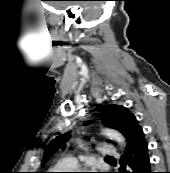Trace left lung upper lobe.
<instances>
[{
    "mask_svg": "<svg viewBox=\"0 0 170 173\" xmlns=\"http://www.w3.org/2000/svg\"><path fill=\"white\" fill-rule=\"evenodd\" d=\"M101 113L104 125L118 129L127 139L126 150L134 148L137 144L145 141L142 128L139 126L136 117L127 108L117 105H98L95 109ZM70 137V133H65L53 140L44 153L42 165L61 147Z\"/></svg>",
    "mask_w": 170,
    "mask_h": 173,
    "instance_id": "1",
    "label": "left lung upper lobe"
}]
</instances>
